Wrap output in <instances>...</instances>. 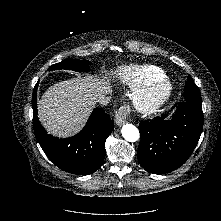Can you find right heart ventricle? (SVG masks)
<instances>
[{
    "label": "right heart ventricle",
    "mask_w": 221,
    "mask_h": 221,
    "mask_svg": "<svg viewBox=\"0 0 221 221\" xmlns=\"http://www.w3.org/2000/svg\"><path fill=\"white\" fill-rule=\"evenodd\" d=\"M121 77L124 83L132 88L140 87L150 82L164 78V71L153 65H144L133 68H125L121 72Z\"/></svg>",
    "instance_id": "obj_1"
}]
</instances>
